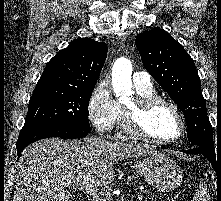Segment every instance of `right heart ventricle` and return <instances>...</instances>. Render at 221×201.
<instances>
[{"label":"right heart ventricle","instance_id":"e07e8e85","mask_svg":"<svg viewBox=\"0 0 221 201\" xmlns=\"http://www.w3.org/2000/svg\"><path fill=\"white\" fill-rule=\"evenodd\" d=\"M137 90V94L140 97H147V96H153L156 95V92L153 88V86H149V87H136ZM120 117H122V111L120 108Z\"/></svg>","mask_w":221,"mask_h":201}]
</instances>
